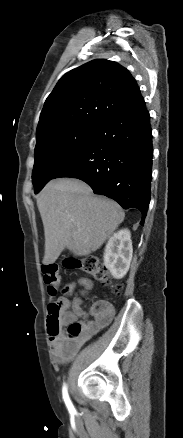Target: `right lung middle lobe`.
<instances>
[{"label":"right lung middle lobe","instance_id":"right-lung-middle-lobe-1","mask_svg":"<svg viewBox=\"0 0 183 438\" xmlns=\"http://www.w3.org/2000/svg\"><path fill=\"white\" fill-rule=\"evenodd\" d=\"M94 125H78L47 132L36 138L32 182L35 193L63 169L89 143Z\"/></svg>","mask_w":183,"mask_h":438}]
</instances>
